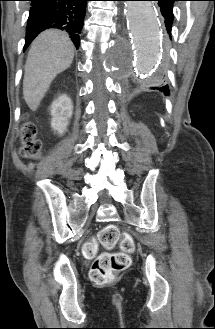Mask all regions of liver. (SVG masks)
<instances>
[{"mask_svg": "<svg viewBox=\"0 0 215 329\" xmlns=\"http://www.w3.org/2000/svg\"><path fill=\"white\" fill-rule=\"evenodd\" d=\"M75 47L69 36L57 29L40 33L32 42L25 65L24 99L36 111L54 78L70 67Z\"/></svg>", "mask_w": 215, "mask_h": 329, "instance_id": "liver-1", "label": "liver"}]
</instances>
